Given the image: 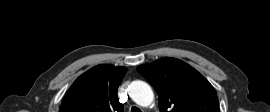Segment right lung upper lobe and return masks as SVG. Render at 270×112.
Returning <instances> with one entry per match:
<instances>
[{"mask_svg": "<svg viewBox=\"0 0 270 112\" xmlns=\"http://www.w3.org/2000/svg\"><path fill=\"white\" fill-rule=\"evenodd\" d=\"M126 71L106 64L91 68L75 80L59 112H124L117 90Z\"/></svg>", "mask_w": 270, "mask_h": 112, "instance_id": "obj_1", "label": "right lung upper lobe"}]
</instances>
